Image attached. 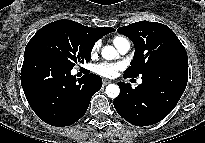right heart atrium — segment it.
<instances>
[{
    "mask_svg": "<svg viewBox=\"0 0 205 143\" xmlns=\"http://www.w3.org/2000/svg\"><path fill=\"white\" fill-rule=\"evenodd\" d=\"M100 48V42H95L91 48V54L94 55L98 52Z\"/></svg>",
    "mask_w": 205,
    "mask_h": 143,
    "instance_id": "obj_1",
    "label": "right heart atrium"
}]
</instances>
